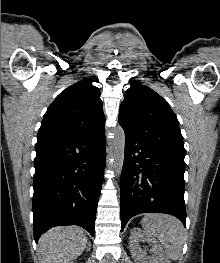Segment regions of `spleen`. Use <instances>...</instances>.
I'll return each instance as SVG.
<instances>
[{
    "instance_id": "3e777b00",
    "label": "spleen",
    "mask_w": 220,
    "mask_h": 263,
    "mask_svg": "<svg viewBox=\"0 0 220 263\" xmlns=\"http://www.w3.org/2000/svg\"><path fill=\"white\" fill-rule=\"evenodd\" d=\"M141 224L150 235L160 240L167 257L176 261L182 256L185 230L177 218L166 214H146Z\"/></svg>"
}]
</instances>
